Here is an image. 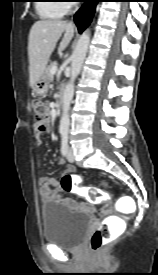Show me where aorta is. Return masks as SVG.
<instances>
[{
    "instance_id": "obj_1",
    "label": "aorta",
    "mask_w": 158,
    "mask_h": 275,
    "mask_svg": "<svg viewBox=\"0 0 158 275\" xmlns=\"http://www.w3.org/2000/svg\"><path fill=\"white\" fill-rule=\"evenodd\" d=\"M90 42V33L86 30L79 38L76 48L71 56V76L68 84L65 87L63 94V113L60 120L59 131L67 133L69 130L70 119L69 110L71 101L74 95V82L80 73L88 46Z\"/></svg>"
}]
</instances>
